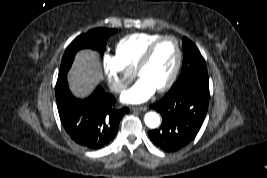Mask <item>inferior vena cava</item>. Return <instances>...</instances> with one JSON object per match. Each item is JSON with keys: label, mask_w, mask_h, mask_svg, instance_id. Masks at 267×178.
Instances as JSON below:
<instances>
[{"label": "inferior vena cava", "mask_w": 267, "mask_h": 178, "mask_svg": "<svg viewBox=\"0 0 267 178\" xmlns=\"http://www.w3.org/2000/svg\"><path fill=\"white\" fill-rule=\"evenodd\" d=\"M127 88L126 85H118L115 87V91L120 92L122 90H125Z\"/></svg>", "instance_id": "602c4592"}]
</instances>
